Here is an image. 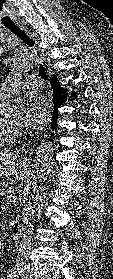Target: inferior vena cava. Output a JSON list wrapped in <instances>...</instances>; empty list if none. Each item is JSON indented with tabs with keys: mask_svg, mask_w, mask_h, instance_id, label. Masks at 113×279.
<instances>
[{
	"mask_svg": "<svg viewBox=\"0 0 113 279\" xmlns=\"http://www.w3.org/2000/svg\"><path fill=\"white\" fill-rule=\"evenodd\" d=\"M28 182V181H27ZM32 214L33 207L30 198L29 185L24 188V200L22 208V224L20 229L21 240L17 249L16 268L21 274L30 272L29 254L31 250L32 239Z\"/></svg>",
	"mask_w": 113,
	"mask_h": 279,
	"instance_id": "602c4592",
	"label": "inferior vena cava"
}]
</instances>
